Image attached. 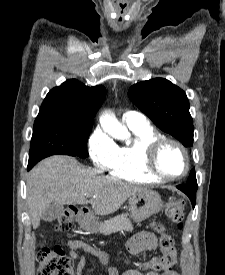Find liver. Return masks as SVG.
Listing matches in <instances>:
<instances>
[{
	"label": "liver",
	"instance_id": "1",
	"mask_svg": "<svg viewBox=\"0 0 225 275\" xmlns=\"http://www.w3.org/2000/svg\"><path fill=\"white\" fill-rule=\"evenodd\" d=\"M146 188L100 176L75 158L55 155L39 162L27 179V202L33 229H37L45 209L53 202L93 206L97 215L116 212L131 196ZM90 198V200H88Z\"/></svg>",
	"mask_w": 225,
	"mask_h": 275
}]
</instances>
